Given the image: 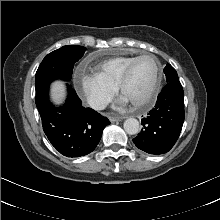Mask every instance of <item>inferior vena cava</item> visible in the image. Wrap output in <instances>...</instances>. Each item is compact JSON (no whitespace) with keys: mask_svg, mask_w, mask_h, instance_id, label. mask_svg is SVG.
I'll return each mask as SVG.
<instances>
[{"mask_svg":"<svg viewBox=\"0 0 220 220\" xmlns=\"http://www.w3.org/2000/svg\"><path fill=\"white\" fill-rule=\"evenodd\" d=\"M90 107L95 110H103L107 107L108 101L102 97H92L88 101Z\"/></svg>","mask_w":220,"mask_h":220,"instance_id":"obj_1","label":"inferior vena cava"}]
</instances>
